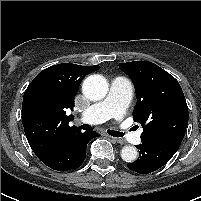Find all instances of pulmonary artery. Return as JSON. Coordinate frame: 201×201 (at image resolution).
<instances>
[{"instance_id": "1", "label": "pulmonary artery", "mask_w": 201, "mask_h": 201, "mask_svg": "<svg viewBox=\"0 0 201 201\" xmlns=\"http://www.w3.org/2000/svg\"><path fill=\"white\" fill-rule=\"evenodd\" d=\"M132 85L125 77H115L110 83L108 95L81 114L79 120L88 124H98L108 119H121L132 98ZM124 137L132 143L140 142L139 133L124 132Z\"/></svg>"}]
</instances>
